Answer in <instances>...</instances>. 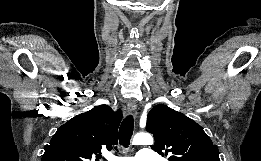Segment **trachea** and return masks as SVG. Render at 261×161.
Here are the masks:
<instances>
[{
    "label": "trachea",
    "mask_w": 261,
    "mask_h": 161,
    "mask_svg": "<svg viewBox=\"0 0 261 161\" xmlns=\"http://www.w3.org/2000/svg\"><path fill=\"white\" fill-rule=\"evenodd\" d=\"M134 128V119L132 115L127 116L119 129V143L124 148H127L130 145V140L133 134Z\"/></svg>",
    "instance_id": "3493384b"
}]
</instances>
